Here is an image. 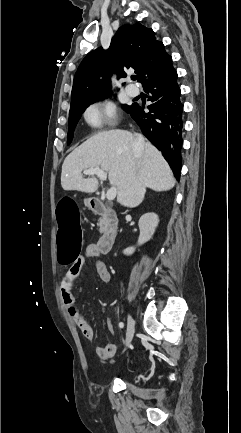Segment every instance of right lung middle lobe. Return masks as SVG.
<instances>
[{"label": "right lung middle lobe", "instance_id": "obj_1", "mask_svg": "<svg viewBox=\"0 0 241 433\" xmlns=\"http://www.w3.org/2000/svg\"><path fill=\"white\" fill-rule=\"evenodd\" d=\"M107 96H102V97H98V98H93V99H87V100H82L79 101L78 103H76L75 105L71 106L70 108V114H69V129H68V135H67V144L69 145L73 139V133H74V129L76 127L77 122L79 121L82 113L85 111V109L92 103L101 100V99H105ZM126 112H128L131 108V106L126 105L125 107Z\"/></svg>", "mask_w": 241, "mask_h": 433}]
</instances>
